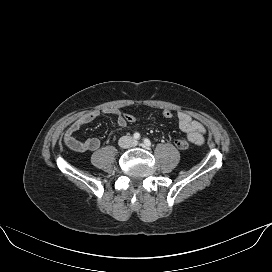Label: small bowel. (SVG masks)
I'll return each instance as SVG.
<instances>
[{
    "label": "small bowel",
    "mask_w": 272,
    "mask_h": 272,
    "mask_svg": "<svg viewBox=\"0 0 272 272\" xmlns=\"http://www.w3.org/2000/svg\"><path fill=\"white\" fill-rule=\"evenodd\" d=\"M102 113L116 116V125L119 128L126 127L127 122L124 119V115L121 114L120 111L115 109H106ZM100 115L101 112L98 110L90 111L73 121L67 128L64 135L66 145L79 152L96 151L100 147L99 139L88 138L85 140H79L75 136V133L84 125L100 117ZM176 118L180 130L185 133L187 140L196 146H201L205 141L204 134L206 129L204 125L185 111H177Z\"/></svg>",
    "instance_id": "1"
}]
</instances>
